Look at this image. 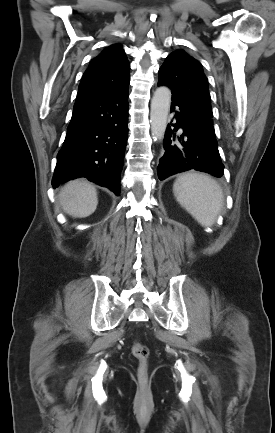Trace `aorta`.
Returning a JSON list of instances; mask_svg holds the SVG:
<instances>
[{"label":"aorta","instance_id":"1","mask_svg":"<svg viewBox=\"0 0 275 433\" xmlns=\"http://www.w3.org/2000/svg\"><path fill=\"white\" fill-rule=\"evenodd\" d=\"M170 103V89L166 86L158 87L153 94L150 111L151 134L157 140L164 137Z\"/></svg>","mask_w":275,"mask_h":433}]
</instances>
